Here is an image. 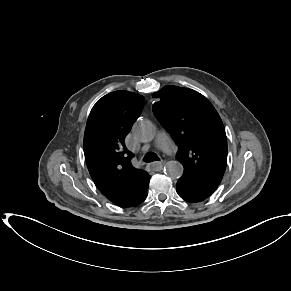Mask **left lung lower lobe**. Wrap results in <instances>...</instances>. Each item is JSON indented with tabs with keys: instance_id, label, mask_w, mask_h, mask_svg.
<instances>
[{
	"instance_id": "0a47b994",
	"label": "left lung lower lobe",
	"mask_w": 291,
	"mask_h": 291,
	"mask_svg": "<svg viewBox=\"0 0 291 291\" xmlns=\"http://www.w3.org/2000/svg\"><path fill=\"white\" fill-rule=\"evenodd\" d=\"M176 191L182 199L191 203L201 202L211 195L198 191L180 180L176 184Z\"/></svg>"
}]
</instances>
